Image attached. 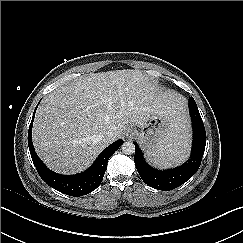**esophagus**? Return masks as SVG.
<instances>
[{
	"label": "esophagus",
	"instance_id": "esophagus-1",
	"mask_svg": "<svg viewBox=\"0 0 243 243\" xmlns=\"http://www.w3.org/2000/svg\"><path fill=\"white\" fill-rule=\"evenodd\" d=\"M125 133L128 139H132L135 136V130L130 127L126 129Z\"/></svg>",
	"mask_w": 243,
	"mask_h": 243
}]
</instances>
